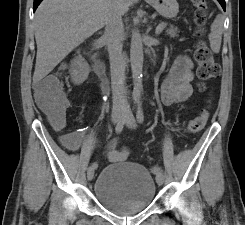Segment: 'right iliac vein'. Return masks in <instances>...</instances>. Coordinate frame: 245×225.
Here are the masks:
<instances>
[{
    "label": "right iliac vein",
    "mask_w": 245,
    "mask_h": 225,
    "mask_svg": "<svg viewBox=\"0 0 245 225\" xmlns=\"http://www.w3.org/2000/svg\"><path fill=\"white\" fill-rule=\"evenodd\" d=\"M123 118V111L122 110H118V111H114L111 115V119L113 123H119ZM94 168L89 167L87 170V178L89 181H91L94 177Z\"/></svg>",
    "instance_id": "right-iliac-vein-1"
}]
</instances>
